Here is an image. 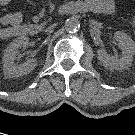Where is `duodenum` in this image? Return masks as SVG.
<instances>
[{"mask_svg":"<svg viewBox=\"0 0 135 135\" xmlns=\"http://www.w3.org/2000/svg\"><path fill=\"white\" fill-rule=\"evenodd\" d=\"M32 32V29L30 27H25L24 28V33L25 34H30Z\"/></svg>","mask_w":135,"mask_h":135,"instance_id":"1","label":"duodenum"}]
</instances>
